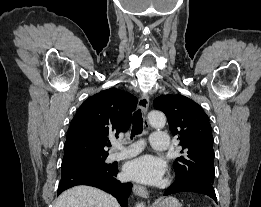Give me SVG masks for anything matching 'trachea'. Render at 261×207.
I'll return each instance as SVG.
<instances>
[{"instance_id": "3493384b", "label": "trachea", "mask_w": 261, "mask_h": 207, "mask_svg": "<svg viewBox=\"0 0 261 207\" xmlns=\"http://www.w3.org/2000/svg\"><path fill=\"white\" fill-rule=\"evenodd\" d=\"M132 123L133 126H132L131 138H133L135 135L140 134L143 130V119H142V113L140 109L134 112Z\"/></svg>"}]
</instances>
